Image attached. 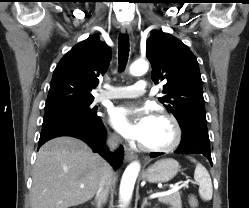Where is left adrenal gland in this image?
<instances>
[{
    "mask_svg": "<svg viewBox=\"0 0 249 208\" xmlns=\"http://www.w3.org/2000/svg\"><path fill=\"white\" fill-rule=\"evenodd\" d=\"M146 205H151V203L148 202L147 198L145 197V198L143 199V203H142V205H141V208H144Z\"/></svg>",
    "mask_w": 249,
    "mask_h": 208,
    "instance_id": "left-adrenal-gland-1",
    "label": "left adrenal gland"
}]
</instances>
